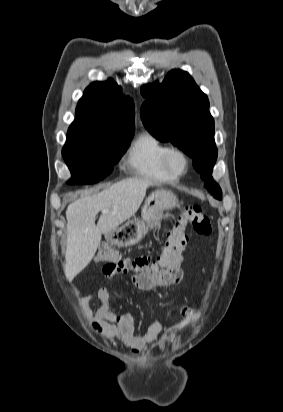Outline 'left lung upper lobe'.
I'll list each match as a JSON object with an SVG mask.
<instances>
[{
  "label": "left lung upper lobe",
  "instance_id": "obj_1",
  "mask_svg": "<svg viewBox=\"0 0 283 412\" xmlns=\"http://www.w3.org/2000/svg\"><path fill=\"white\" fill-rule=\"evenodd\" d=\"M141 94L147 99L141 107L145 128L156 139L170 141L190 156L205 188L221 200V188L211 176L217 148L207 96L180 70L169 72L161 84L143 85Z\"/></svg>",
  "mask_w": 283,
  "mask_h": 412
}]
</instances>
